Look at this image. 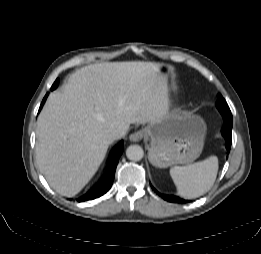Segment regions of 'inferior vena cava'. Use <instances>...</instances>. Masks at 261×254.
I'll use <instances>...</instances> for the list:
<instances>
[{"instance_id": "inferior-vena-cava-1", "label": "inferior vena cava", "mask_w": 261, "mask_h": 254, "mask_svg": "<svg viewBox=\"0 0 261 254\" xmlns=\"http://www.w3.org/2000/svg\"><path fill=\"white\" fill-rule=\"evenodd\" d=\"M119 134H120V131L118 129H114V130L110 131L107 134V141L109 143H112L115 139L118 138Z\"/></svg>"}]
</instances>
